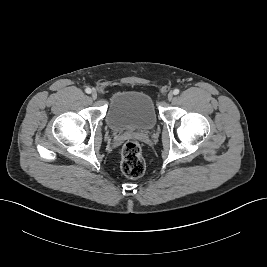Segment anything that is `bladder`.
<instances>
[{"instance_id": "obj_1", "label": "bladder", "mask_w": 267, "mask_h": 267, "mask_svg": "<svg viewBox=\"0 0 267 267\" xmlns=\"http://www.w3.org/2000/svg\"><path fill=\"white\" fill-rule=\"evenodd\" d=\"M105 119L114 131H144L155 126L157 111L147 92L123 90L111 96Z\"/></svg>"}]
</instances>
